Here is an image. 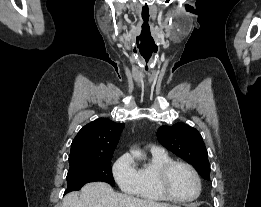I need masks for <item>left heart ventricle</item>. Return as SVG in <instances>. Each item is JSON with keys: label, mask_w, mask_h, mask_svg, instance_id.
<instances>
[{"label": "left heart ventricle", "mask_w": 261, "mask_h": 207, "mask_svg": "<svg viewBox=\"0 0 261 207\" xmlns=\"http://www.w3.org/2000/svg\"><path fill=\"white\" fill-rule=\"evenodd\" d=\"M168 183L171 192L178 198H191L197 191L193 175L183 166H176L172 169Z\"/></svg>", "instance_id": "obj_1"}]
</instances>
